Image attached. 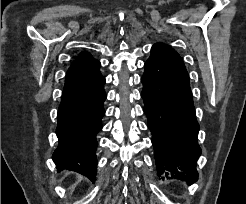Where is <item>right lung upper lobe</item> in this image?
I'll return each mask as SVG.
<instances>
[{"label":"right lung upper lobe","instance_id":"obj_1","mask_svg":"<svg viewBox=\"0 0 246 204\" xmlns=\"http://www.w3.org/2000/svg\"><path fill=\"white\" fill-rule=\"evenodd\" d=\"M94 59L89 53L87 52H82L76 60H92Z\"/></svg>","mask_w":246,"mask_h":204}]
</instances>
